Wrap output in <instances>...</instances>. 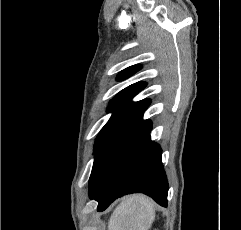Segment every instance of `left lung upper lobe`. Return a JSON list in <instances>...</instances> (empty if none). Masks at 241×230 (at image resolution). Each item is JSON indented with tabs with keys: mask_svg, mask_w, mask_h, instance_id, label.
I'll use <instances>...</instances> for the list:
<instances>
[{
	"mask_svg": "<svg viewBox=\"0 0 241 230\" xmlns=\"http://www.w3.org/2000/svg\"><path fill=\"white\" fill-rule=\"evenodd\" d=\"M140 68V65H134L126 68L119 73L118 80H124L130 77ZM145 86V82L134 83L121 90L110 101L107 111L113 112V114L97 136L94 145V152H97L105 142L135 120L150 105V99H144L138 102L131 101V99L143 90Z\"/></svg>",
	"mask_w": 241,
	"mask_h": 230,
	"instance_id": "left-lung-upper-lobe-1",
	"label": "left lung upper lobe"
}]
</instances>
